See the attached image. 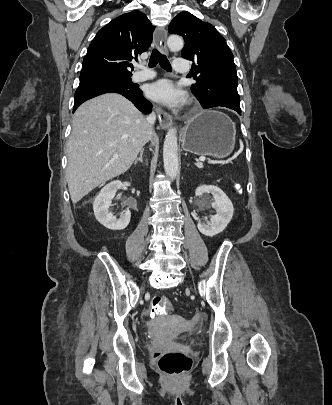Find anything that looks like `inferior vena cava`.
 <instances>
[{"label": "inferior vena cava", "mask_w": 332, "mask_h": 405, "mask_svg": "<svg viewBox=\"0 0 332 405\" xmlns=\"http://www.w3.org/2000/svg\"><path fill=\"white\" fill-rule=\"evenodd\" d=\"M155 120H156V115H155V113L149 114V115L147 116V118H146V123H147V126H148V129H149V132H150V133H153V125H154V123H155Z\"/></svg>", "instance_id": "inferior-vena-cava-1"}]
</instances>
